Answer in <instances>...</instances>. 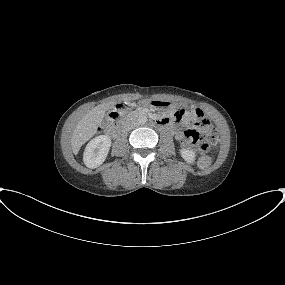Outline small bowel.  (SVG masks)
<instances>
[{"mask_svg": "<svg viewBox=\"0 0 285 285\" xmlns=\"http://www.w3.org/2000/svg\"><path fill=\"white\" fill-rule=\"evenodd\" d=\"M196 114L199 115L201 114L200 110H196ZM176 139L181 142V143H185V137H184V133L181 131H177L175 134Z\"/></svg>", "mask_w": 285, "mask_h": 285, "instance_id": "obj_1", "label": "small bowel"}]
</instances>
